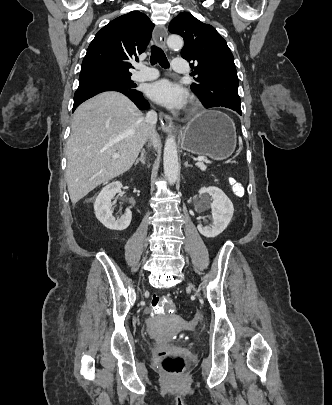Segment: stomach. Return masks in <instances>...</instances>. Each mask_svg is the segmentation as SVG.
Returning <instances> with one entry per match:
<instances>
[{
	"label": "stomach",
	"instance_id": "1",
	"mask_svg": "<svg viewBox=\"0 0 332 405\" xmlns=\"http://www.w3.org/2000/svg\"><path fill=\"white\" fill-rule=\"evenodd\" d=\"M181 141L188 152L224 160L236 147L235 126L226 114L207 110L188 122L183 128Z\"/></svg>",
	"mask_w": 332,
	"mask_h": 405
}]
</instances>
